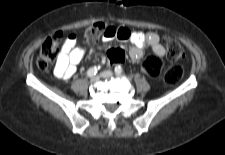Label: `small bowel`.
<instances>
[{"instance_id":"c3829d8e","label":"small bowel","mask_w":225,"mask_h":155,"mask_svg":"<svg viewBox=\"0 0 225 155\" xmlns=\"http://www.w3.org/2000/svg\"><path fill=\"white\" fill-rule=\"evenodd\" d=\"M102 39L112 41L114 39L128 41L130 44L129 54L134 60L142 58L144 49L150 47L157 58L165 55V48L160 42V37L155 32L131 31L126 27L109 26ZM81 34L76 29L64 32L60 36L61 50L55 65V75L60 79H70L76 73V66L84 56V49L77 47Z\"/></svg>"}]
</instances>
